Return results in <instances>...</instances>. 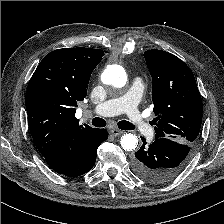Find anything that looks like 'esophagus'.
<instances>
[{"label": "esophagus", "instance_id": "1", "mask_svg": "<svg viewBox=\"0 0 224 224\" xmlns=\"http://www.w3.org/2000/svg\"><path fill=\"white\" fill-rule=\"evenodd\" d=\"M123 133H124V131H122V130H118V129H112L111 130V134L113 136H119V135H122Z\"/></svg>", "mask_w": 224, "mask_h": 224}]
</instances>
